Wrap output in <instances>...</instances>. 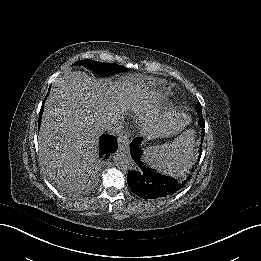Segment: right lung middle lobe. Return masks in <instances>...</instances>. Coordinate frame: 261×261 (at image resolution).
Instances as JSON below:
<instances>
[{"label": "right lung middle lobe", "mask_w": 261, "mask_h": 261, "mask_svg": "<svg viewBox=\"0 0 261 261\" xmlns=\"http://www.w3.org/2000/svg\"><path fill=\"white\" fill-rule=\"evenodd\" d=\"M79 63L81 64H86L87 66L91 67L92 69H94L95 71H97V73L101 74L102 76L107 75V74H113L114 72H121V71H125L127 70V68L120 66V65H116V64H108V63H103V62H98V61H94V60H81ZM102 165V158L100 156H96L95 161L90 164L89 168H88V174L89 175H94L98 172L100 166ZM68 174L61 176V179L58 180V185L60 187H68L70 185V179H69V183L67 182V184H64V180H68Z\"/></svg>", "instance_id": "dd1d6c3e"}]
</instances>
